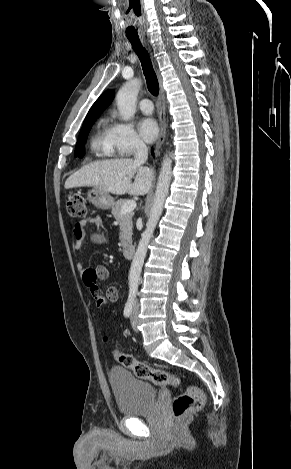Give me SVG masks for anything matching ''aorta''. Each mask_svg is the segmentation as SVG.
I'll return each mask as SVG.
<instances>
[{"label": "aorta", "mask_w": 291, "mask_h": 469, "mask_svg": "<svg viewBox=\"0 0 291 469\" xmlns=\"http://www.w3.org/2000/svg\"><path fill=\"white\" fill-rule=\"evenodd\" d=\"M141 87V81L134 79L125 83L116 95L119 114L124 121L130 120L136 112V100ZM171 160L168 155L163 158L153 205L146 224V229L139 241L129 273V292L136 293L139 286L140 274L146 257L148 244L154 233L158 220L163 212L164 202L168 195L171 180Z\"/></svg>", "instance_id": "aorta-1"}]
</instances>
